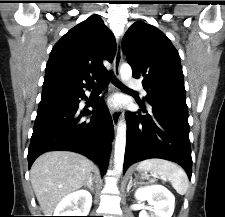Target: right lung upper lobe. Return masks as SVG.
<instances>
[{
	"label": "right lung upper lobe",
	"mask_w": 225,
	"mask_h": 217,
	"mask_svg": "<svg viewBox=\"0 0 225 217\" xmlns=\"http://www.w3.org/2000/svg\"><path fill=\"white\" fill-rule=\"evenodd\" d=\"M116 42L97 15L69 30L52 48L45 69L42 97L83 93L105 73L103 60L111 61Z\"/></svg>",
	"instance_id": "1"
}]
</instances>
